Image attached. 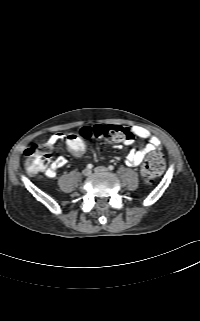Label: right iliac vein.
Segmentation results:
<instances>
[{
  "instance_id": "obj_1",
  "label": "right iliac vein",
  "mask_w": 200,
  "mask_h": 321,
  "mask_svg": "<svg viewBox=\"0 0 200 321\" xmlns=\"http://www.w3.org/2000/svg\"><path fill=\"white\" fill-rule=\"evenodd\" d=\"M82 174H83L84 176H89V175L91 174V170L88 169V168H85V169L82 171Z\"/></svg>"
}]
</instances>
